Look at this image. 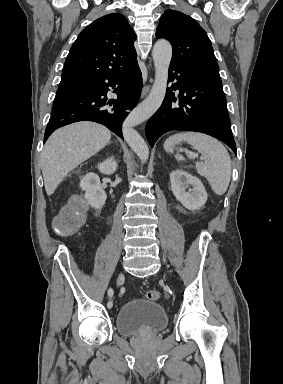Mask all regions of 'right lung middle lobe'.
I'll use <instances>...</instances> for the list:
<instances>
[{"label": "right lung middle lobe", "mask_w": 283, "mask_h": 384, "mask_svg": "<svg viewBox=\"0 0 283 384\" xmlns=\"http://www.w3.org/2000/svg\"><path fill=\"white\" fill-rule=\"evenodd\" d=\"M82 92L83 90L57 91L53 108H57L74 101Z\"/></svg>", "instance_id": "dd1d6c3e"}]
</instances>
